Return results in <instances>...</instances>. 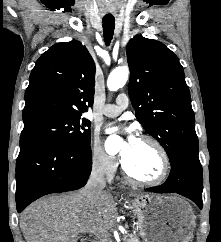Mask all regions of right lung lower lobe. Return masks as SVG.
I'll return each instance as SVG.
<instances>
[{
	"mask_svg": "<svg viewBox=\"0 0 221 242\" xmlns=\"http://www.w3.org/2000/svg\"><path fill=\"white\" fill-rule=\"evenodd\" d=\"M91 168L90 145H72L49 136L21 137L16 161L18 212L46 194L83 187Z\"/></svg>",
	"mask_w": 221,
	"mask_h": 242,
	"instance_id": "obj_1",
	"label": "right lung lower lobe"
}]
</instances>
